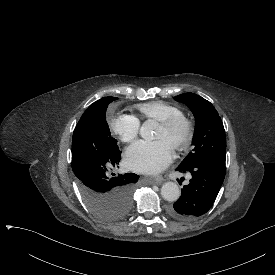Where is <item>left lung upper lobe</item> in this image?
<instances>
[{"mask_svg":"<svg viewBox=\"0 0 275 275\" xmlns=\"http://www.w3.org/2000/svg\"><path fill=\"white\" fill-rule=\"evenodd\" d=\"M176 101L186 104L195 117V148L180 164L191 166L207 159L226 158V137L223 123L214 106L194 93H184L174 97Z\"/></svg>","mask_w":275,"mask_h":275,"instance_id":"left-lung-upper-lobe-1","label":"left lung upper lobe"}]
</instances>
